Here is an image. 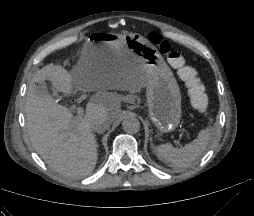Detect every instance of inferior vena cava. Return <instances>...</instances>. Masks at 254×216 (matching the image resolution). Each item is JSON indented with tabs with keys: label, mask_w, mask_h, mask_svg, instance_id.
<instances>
[{
	"label": "inferior vena cava",
	"mask_w": 254,
	"mask_h": 216,
	"mask_svg": "<svg viewBox=\"0 0 254 216\" xmlns=\"http://www.w3.org/2000/svg\"><path fill=\"white\" fill-rule=\"evenodd\" d=\"M109 126L110 123L104 117L96 118L90 123L91 130L97 132H104Z\"/></svg>",
	"instance_id": "inferior-vena-cava-1"
}]
</instances>
